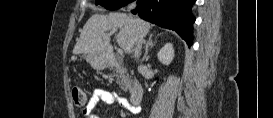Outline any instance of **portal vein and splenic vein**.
<instances>
[{"label": "portal vein and splenic vein", "mask_w": 273, "mask_h": 118, "mask_svg": "<svg viewBox=\"0 0 273 118\" xmlns=\"http://www.w3.org/2000/svg\"><path fill=\"white\" fill-rule=\"evenodd\" d=\"M115 32V30H112L111 32H110V34H113ZM120 46V45H119ZM121 47V46H120ZM119 52H123V50H122V47L119 49Z\"/></svg>", "instance_id": "1"}]
</instances>
